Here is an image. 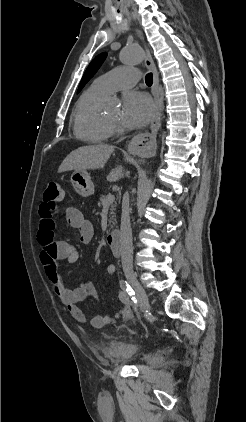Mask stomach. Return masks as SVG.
Wrapping results in <instances>:
<instances>
[{
	"label": "stomach",
	"instance_id": "obj_1",
	"mask_svg": "<svg viewBox=\"0 0 246 422\" xmlns=\"http://www.w3.org/2000/svg\"><path fill=\"white\" fill-rule=\"evenodd\" d=\"M71 183L75 191L82 197H88L94 193L93 182L86 171H74L71 175Z\"/></svg>",
	"mask_w": 246,
	"mask_h": 422
}]
</instances>
